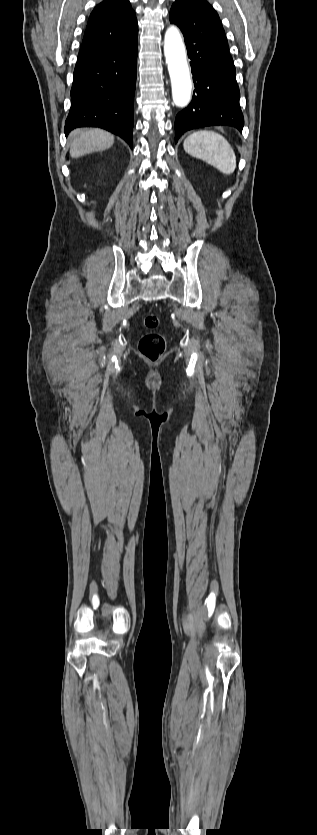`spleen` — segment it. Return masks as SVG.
I'll use <instances>...</instances> for the list:
<instances>
[{
  "label": "spleen",
  "mask_w": 317,
  "mask_h": 835,
  "mask_svg": "<svg viewBox=\"0 0 317 835\" xmlns=\"http://www.w3.org/2000/svg\"><path fill=\"white\" fill-rule=\"evenodd\" d=\"M184 150L216 168L224 175H231L236 168V156L229 142L220 134L200 130L188 136Z\"/></svg>",
  "instance_id": "obj_1"
}]
</instances>
